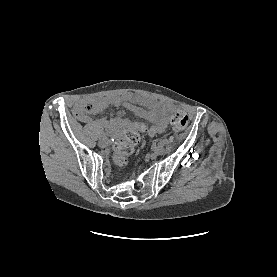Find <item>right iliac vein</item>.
I'll return each instance as SVG.
<instances>
[{
  "label": "right iliac vein",
  "mask_w": 277,
  "mask_h": 277,
  "mask_svg": "<svg viewBox=\"0 0 277 277\" xmlns=\"http://www.w3.org/2000/svg\"><path fill=\"white\" fill-rule=\"evenodd\" d=\"M109 143H110V141L107 139V138H101L100 140H99V146L100 147H107L108 145H109Z\"/></svg>",
  "instance_id": "1"
}]
</instances>
